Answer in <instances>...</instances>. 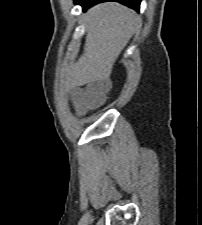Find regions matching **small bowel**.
<instances>
[{"label": "small bowel", "instance_id": "c3829d8e", "mask_svg": "<svg viewBox=\"0 0 202 225\" xmlns=\"http://www.w3.org/2000/svg\"><path fill=\"white\" fill-rule=\"evenodd\" d=\"M92 85H94V86H100V85L110 86V85H112V81L110 79H104L101 82L93 83ZM90 97H91V94L88 90V87H86V88H83V89L77 91L75 93L73 99H74V102H76L80 106L85 107V108H89L90 105H91L90 104Z\"/></svg>", "mask_w": 202, "mask_h": 225}]
</instances>
